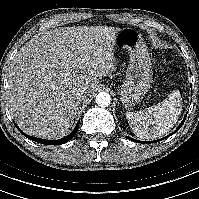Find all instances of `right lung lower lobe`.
<instances>
[{
	"instance_id": "obj_1",
	"label": "right lung lower lobe",
	"mask_w": 199,
	"mask_h": 199,
	"mask_svg": "<svg viewBox=\"0 0 199 199\" xmlns=\"http://www.w3.org/2000/svg\"><path fill=\"white\" fill-rule=\"evenodd\" d=\"M15 124V123H14ZM15 126L17 127V129L24 135L26 136L27 138H29L30 140L32 141H35V142H38V143H41V144H47V145H61V144H64L66 142H68L69 140H71L74 135L76 134L78 128H79V122L77 123L76 127L74 128V130L66 137L62 138V139H58V140H45V139H40V138H36V137H32V136H29L25 133H23L19 128L18 126L15 124Z\"/></svg>"
}]
</instances>
